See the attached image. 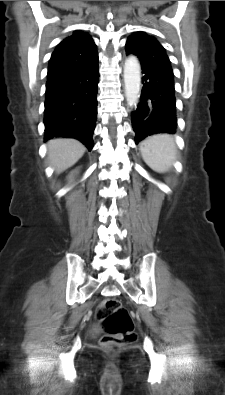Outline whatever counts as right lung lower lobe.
Instances as JSON below:
<instances>
[{
  "mask_svg": "<svg viewBox=\"0 0 225 395\" xmlns=\"http://www.w3.org/2000/svg\"><path fill=\"white\" fill-rule=\"evenodd\" d=\"M98 58L90 65L48 77L44 111L45 141L53 137L80 140L93 148L97 118Z\"/></svg>",
  "mask_w": 225,
  "mask_h": 395,
  "instance_id": "1",
  "label": "right lung lower lobe"
}]
</instances>
